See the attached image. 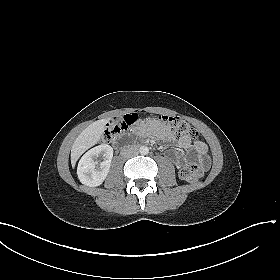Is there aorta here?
I'll list each match as a JSON object with an SVG mask.
<instances>
[{"label":"aorta","mask_w":280,"mask_h":280,"mask_svg":"<svg viewBox=\"0 0 280 280\" xmlns=\"http://www.w3.org/2000/svg\"><path fill=\"white\" fill-rule=\"evenodd\" d=\"M139 152L142 154V155H147L149 153V148L146 147V146H141L140 149H139Z\"/></svg>","instance_id":"1"}]
</instances>
